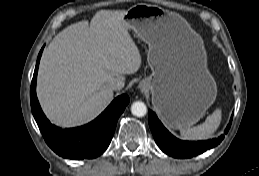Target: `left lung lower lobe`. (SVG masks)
Returning a JSON list of instances; mask_svg holds the SVG:
<instances>
[{
  "instance_id": "0a47b994",
  "label": "left lung lower lobe",
  "mask_w": 259,
  "mask_h": 176,
  "mask_svg": "<svg viewBox=\"0 0 259 176\" xmlns=\"http://www.w3.org/2000/svg\"><path fill=\"white\" fill-rule=\"evenodd\" d=\"M149 126L160 149L167 155L175 158H190L199 155L217 146L224 138L222 135L219 138L206 141L190 142L179 140L167 131L156 114L151 110L149 111ZM230 126L231 122L225 129V133L228 132Z\"/></svg>"
}]
</instances>
